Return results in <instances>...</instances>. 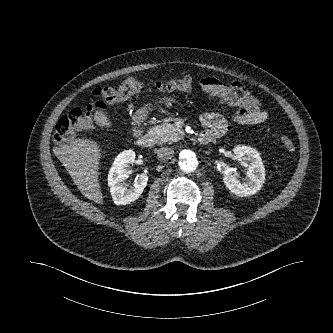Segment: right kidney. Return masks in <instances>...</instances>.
Instances as JSON below:
<instances>
[{"label":"right kidney","instance_id":"obj_1","mask_svg":"<svg viewBox=\"0 0 333 333\" xmlns=\"http://www.w3.org/2000/svg\"><path fill=\"white\" fill-rule=\"evenodd\" d=\"M134 162L135 152L126 150L115 158L109 170L108 186L116 205H126L135 201L147 185L148 176L144 173L137 175L131 186L125 182L129 176L130 165Z\"/></svg>","mask_w":333,"mask_h":333}]
</instances>
